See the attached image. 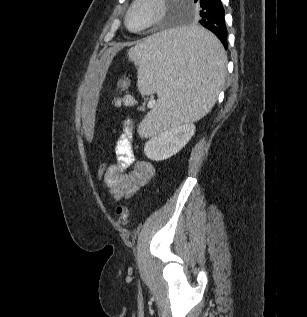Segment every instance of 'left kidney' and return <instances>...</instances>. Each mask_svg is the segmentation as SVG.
I'll list each match as a JSON object with an SVG mask.
<instances>
[{"label": "left kidney", "instance_id": "1", "mask_svg": "<svg viewBox=\"0 0 307 317\" xmlns=\"http://www.w3.org/2000/svg\"><path fill=\"white\" fill-rule=\"evenodd\" d=\"M195 125L192 123L171 126L145 143L144 153L155 161L165 160L178 153L192 138Z\"/></svg>", "mask_w": 307, "mask_h": 317}]
</instances>
